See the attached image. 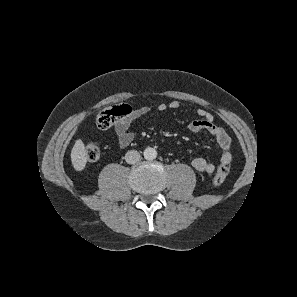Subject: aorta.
Segmentation results:
<instances>
[{"label": "aorta", "mask_w": 297, "mask_h": 297, "mask_svg": "<svg viewBox=\"0 0 297 297\" xmlns=\"http://www.w3.org/2000/svg\"><path fill=\"white\" fill-rule=\"evenodd\" d=\"M143 154H144V158L147 160H153L157 157V151L151 147L145 148Z\"/></svg>", "instance_id": "obj_1"}]
</instances>
